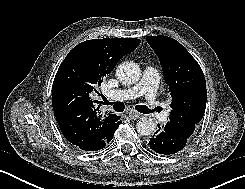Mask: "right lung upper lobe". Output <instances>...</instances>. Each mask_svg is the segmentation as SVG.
<instances>
[{"label":"right lung upper lobe","mask_w":245,"mask_h":189,"mask_svg":"<svg viewBox=\"0 0 245 189\" xmlns=\"http://www.w3.org/2000/svg\"><path fill=\"white\" fill-rule=\"evenodd\" d=\"M136 38H105L75 46L61 63L52 86V105L58 125L69 142L85 141L95 132L94 122L102 117L92 97L97 85L116 63L140 44ZM108 125L118 121L108 115Z\"/></svg>","instance_id":"right-lung-upper-lobe-1"}]
</instances>
